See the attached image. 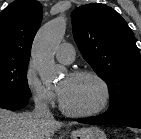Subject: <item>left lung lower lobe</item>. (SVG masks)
I'll use <instances>...</instances> for the list:
<instances>
[{
	"label": "left lung lower lobe",
	"instance_id": "0a47b994",
	"mask_svg": "<svg viewBox=\"0 0 141 139\" xmlns=\"http://www.w3.org/2000/svg\"><path fill=\"white\" fill-rule=\"evenodd\" d=\"M78 122L94 125H121L141 129V100H133L125 105L103 113L97 117L77 119Z\"/></svg>",
	"mask_w": 141,
	"mask_h": 139
}]
</instances>
